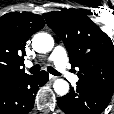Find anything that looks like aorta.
Masks as SVG:
<instances>
[{
	"label": "aorta",
	"mask_w": 114,
	"mask_h": 114,
	"mask_svg": "<svg viewBox=\"0 0 114 114\" xmlns=\"http://www.w3.org/2000/svg\"><path fill=\"white\" fill-rule=\"evenodd\" d=\"M54 40L51 35L47 33H38L33 37L32 47L36 52L46 53L53 49ZM55 92L60 95H66L69 91V84L63 79L55 80L53 84Z\"/></svg>",
	"instance_id": "1"
}]
</instances>
